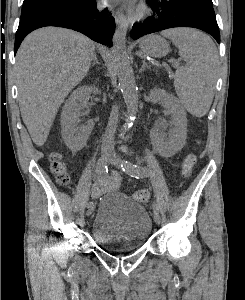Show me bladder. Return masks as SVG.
Segmentation results:
<instances>
[{
  "label": "bladder",
  "instance_id": "bladder-1",
  "mask_svg": "<svg viewBox=\"0 0 245 300\" xmlns=\"http://www.w3.org/2000/svg\"><path fill=\"white\" fill-rule=\"evenodd\" d=\"M151 232L152 222L146 209L117 191L108 192L100 199L90 226L93 240L115 252L143 247Z\"/></svg>",
  "mask_w": 245,
  "mask_h": 300
}]
</instances>
